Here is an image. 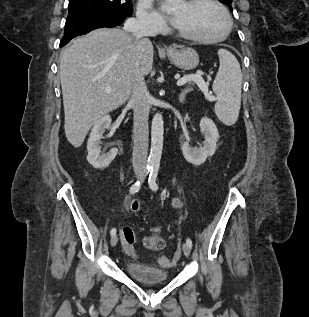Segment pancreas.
<instances>
[{
    "label": "pancreas",
    "instance_id": "pancreas-1",
    "mask_svg": "<svg viewBox=\"0 0 309 317\" xmlns=\"http://www.w3.org/2000/svg\"><path fill=\"white\" fill-rule=\"evenodd\" d=\"M186 76H189V75H185V77H186ZM188 84H189V85H194L195 82H194V81H189Z\"/></svg>",
    "mask_w": 309,
    "mask_h": 317
}]
</instances>
